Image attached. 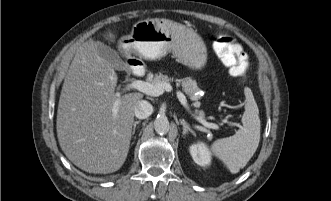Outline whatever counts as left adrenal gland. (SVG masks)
<instances>
[{"instance_id":"1","label":"left adrenal gland","mask_w":331,"mask_h":201,"mask_svg":"<svg viewBox=\"0 0 331 201\" xmlns=\"http://www.w3.org/2000/svg\"><path fill=\"white\" fill-rule=\"evenodd\" d=\"M180 123L183 126V135H186L188 132L195 135V132L191 129L189 124L184 119H180Z\"/></svg>"}]
</instances>
